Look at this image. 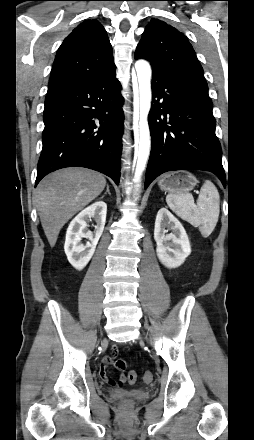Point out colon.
<instances>
[{"mask_svg": "<svg viewBox=\"0 0 254 440\" xmlns=\"http://www.w3.org/2000/svg\"><path fill=\"white\" fill-rule=\"evenodd\" d=\"M114 367L117 370H119V371H124L126 369V362H125V360L124 359H116L114 361ZM142 379H143L144 383H150L152 381V379H153V375H152V373L150 371H146L143 374ZM127 380H128L129 383L134 384L137 381V373L135 371H130L128 373ZM125 382H126V379L124 377H121L117 381V384L118 385H123ZM125 405L128 406L129 402H126Z\"/></svg>", "mask_w": 254, "mask_h": 440, "instance_id": "5ec220e1", "label": "colon"}]
</instances>
